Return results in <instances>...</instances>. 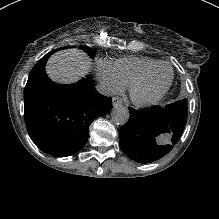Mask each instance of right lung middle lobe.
Masks as SVG:
<instances>
[{
    "mask_svg": "<svg viewBox=\"0 0 219 219\" xmlns=\"http://www.w3.org/2000/svg\"><path fill=\"white\" fill-rule=\"evenodd\" d=\"M81 49L83 51H85L89 56L91 57H94L95 56V53L92 51V49L88 46H82ZM56 50L52 51V52H55Z\"/></svg>",
    "mask_w": 219,
    "mask_h": 219,
    "instance_id": "obj_1",
    "label": "right lung middle lobe"
}]
</instances>
